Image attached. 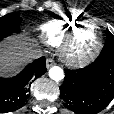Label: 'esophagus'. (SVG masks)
<instances>
[{"label": "esophagus", "mask_w": 114, "mask_h": 114, "mask_svg": "<svg viewBox=\"0 0 114 114\" xmlns=\"http://www.w3.org/2000/svg\"><path fill=\"white\" fill-rule=\"evenodd\" d=\"M55 64L56 63H55V61L53 59H47L46 60V67L47 68H50V67L54 66Z\"/></svg>", "instance_id": "esophagus-1"}]
</instances>
